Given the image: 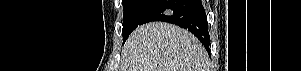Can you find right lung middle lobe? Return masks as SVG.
<instances>
[{
	"label": "right lung middle lobe",
	"mask_w": 301,
	"mask_h": 71,
	"mask_svg": "<svg viewBox=\"0 0 301 71\" xmlns=\"http://www.w3.org/2000/svg\"><path fill=\"white\" fill-rule=\"evenodd\" d=\"M157 0H122L123 14V42L128 38L130 33L140 24V21L146 11Z\"/></svg>",
	"instance_id": "dd1d6c3e"
}]
</instances>
